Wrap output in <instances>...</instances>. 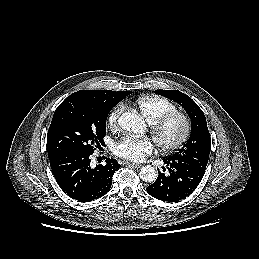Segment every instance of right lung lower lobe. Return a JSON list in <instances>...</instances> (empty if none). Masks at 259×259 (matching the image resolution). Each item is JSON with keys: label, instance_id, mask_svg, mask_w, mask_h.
<instances>
[{"label": "right lung lower lobe", "instance_id": "1", "mask_svg": "<svg viewBox=\"0 0 259 259\" xmlns=\"http://www.w3.org/2000/svg\"><path fill=\"white\" fill-rule=\"evenodd\" d=\"M91 155V152H69L49 159L60 188L80 202L105 195L111 188L114 172L121 166L117 160L107 158L106 165L91 168Z\"/></svg>", "mask_w": 259, "mask_h": 259}]
</instances>
